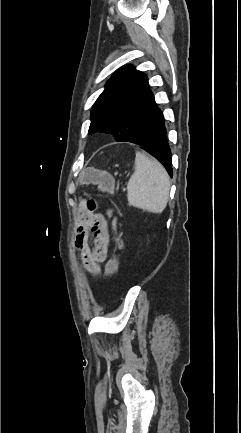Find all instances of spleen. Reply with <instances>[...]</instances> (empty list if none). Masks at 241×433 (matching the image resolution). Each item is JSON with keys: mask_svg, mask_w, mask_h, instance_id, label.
Masks as SVG:
<instances>
[{"mask_svg": "<svg viewBox=\"0 0 241 433\" xmlns=\"http://www.w3.org/2000/svg\"><path fill=\"white\" fill-rule=\"evenodd\" d=\"M169 191L170 180L164 167L156 160L137 152L135 171L127 184L129 204L159 214L167 206Z\"/></svg>", "mask_w": 241, "mask_h": 433, "instance_id": "obj_1", "label": "spleen"}]
</instances>
